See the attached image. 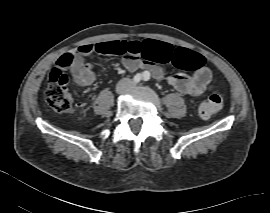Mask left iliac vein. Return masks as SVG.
Listing matches in <instances>:
<instances>
[{
	"mask_svg": "<svg viewBox=\"0 0 270 213\" xmlns=\"http://www.w3.org/2000/svg\"><path fill=\"white\" fill-rule=\"evenodd\" d=\"M135 87H136V85H135V84H132V85H131V88H135Z\"/></svg>",
	"mask_w": 270,
	"mask_h": 213,
	"instance_id": "4c4485c4",
	"label": "left iliac vein"
}]
</instances>
